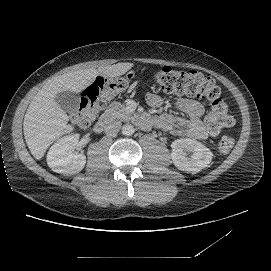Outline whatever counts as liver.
I'll return each instance as SVG.
<instances>
[{"instance_id":"obj_1","label":"liver","mask_w":271,"mask_h":271,"mask_svg":"<svg viewBox=\"0 0 271 271\" xmlns=\"http://www.w3.org/2000/svg\"><path fill=\"white\" fill-rule=\"evenodd\" d=\"M131 66V63H118L98 70L79 69L51 78L33 97L23 120L24 138L32 156L40 159L53 141L70 130L67 115L55 102L56 94L67 90L79 93L98 74L114 77L125 73Z\"/></svg>"}]
</instances>
